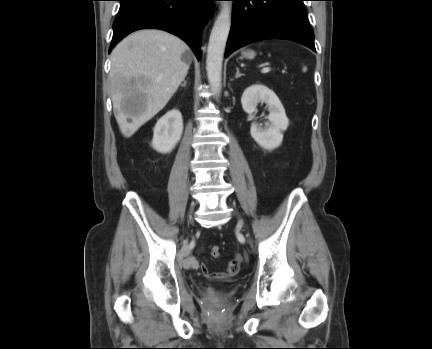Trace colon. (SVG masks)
Segmentation results:
<instances>
[{"label":"colon","mask_w":432,"mask_h":349,"mask_svg":"<svg viewBox=\"0 0 432 349\" xmlns=\"http://www.w3.org/2000/svg\"><path fill=\"white\" fill-rule=\"evenodd\" d=\"M210 253H211V256H212V257H214V258H218V257H220V255H221V249H220L219 246H213V247L211 248Z\"/></svg>","instance_id":"colon-1"}]
</instances>
